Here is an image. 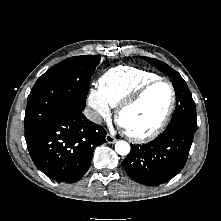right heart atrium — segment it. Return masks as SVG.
<instances>
[{
    "instance_id": "d8ad5b80",
    "label": "right heart atrium",
    "mask_w": 221,
    "mask_h": 221,
    "mask_svg": "<svg viewBox=\"0 0 221 221\" xmlns=\"http://www.w3.org/2000/svg\"><path fill=\"white\" fill-rule=\"evenodd\" d=\"M88 105L92 109V120L100 122L110 116L109 105L103 100L99 91L91 89L88 94Z\"/></svg>"
}]
</instances>
